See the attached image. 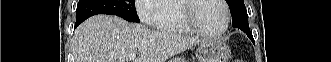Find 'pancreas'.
Listing matches in <instances>:
<instances>
[{
    "label": "pancreas",
    "instance_id": "pancreas-1",
    "mask_svg": "<svg viewBox=\"0 0 331 62\" xmlns=\"http://www.w3.org/2000/svg\"><path fill=\"white\" fill-rule=\"evenodd\" d=\"M170 62H185V61L181 60V58H177L175 60H170Z\"/></svg>",
    "mask_w": 331,
    "mask_h": 62
}]
</instances>
